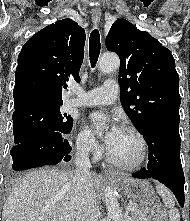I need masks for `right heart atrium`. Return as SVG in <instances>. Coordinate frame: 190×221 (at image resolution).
I'll return each mask as SVG.
<instances>
[{
	"instance_id": "1",
	"label": "right heart atrium",
	"mask_w": 190,
	"mask_h": 221,
	"mask_svg": "<svg viewBox=\"0 0 190 221\" xmlns=\"http://www.w3.org/2000/svg\"><path fill=\"white\" fill-rule=\"evenodd\" d=\"M76 148L80 153L91 154L98 157L102 147L95 137L85 128L80 129L76 137Z\"/></svg>"
}]
</instances>
